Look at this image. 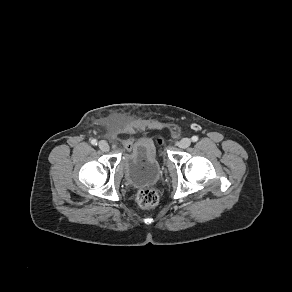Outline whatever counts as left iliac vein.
Instances as JSON below:
<instances>
[{"label":"left iliac vein","mask_w":292,"mask_h":292,"mask_svg":"<svg viewBox=\"0 0 292 292\" xmlns=\"http://www.w3.org/2000/svg\"><path fill=\"white\" fill-rule=\"evenodd\" d=\"M191 144V139L190 138H183L179 142V147L182 149H186L190 146Z\"/></svg>","instance_id":"left-iliac-vein-1"}]
</instances>
